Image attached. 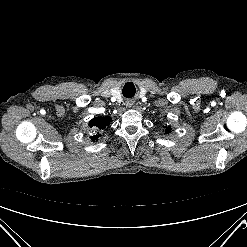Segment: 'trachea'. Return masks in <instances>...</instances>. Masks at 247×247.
Instances as JSON below:
<instances>
[{"label":"trachea","instance_id":"trachea-1","mask_svg":"<svg viewBox=\"0 0 247 247\" xmlns=\"http://www.w3.org/2000/svg\"><path fill=\"white\" fill-rule=\"evenodd\" d=\"M123 90H124V89H123ZM123 94H124V96H126L125 93H123ZM126 97H128V96H126Z\"/></svg>","mask_w":247,"mask_h":247}]
</instances>
